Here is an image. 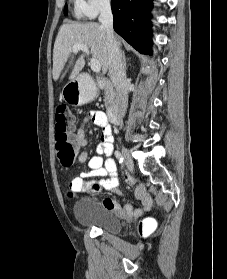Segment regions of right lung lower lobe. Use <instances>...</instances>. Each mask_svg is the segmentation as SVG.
Returning <instances> with one entry per match:
<instances>
[{"label": "right lung lower lobe", "mask_w": 227, "mask_h": 279, "mask_svg": "<svg viewBox=\"0 0 227 279\" xmlns=\"http://www.w3.org/2000/svg\"><path fill=\"white\" fill-rule=\"evenodd\" d=\"M111 7L114 30L139 52L150 53L152 0H112Z\"/></svg>", "instance_id": "obj_1"}]
</instances>
